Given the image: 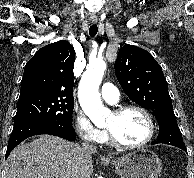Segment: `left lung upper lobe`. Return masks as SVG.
<instances>
[{
    "label": "left lung upper lobe",
    "instance_id": "obj_1",
    "mask_svg": "<svg viewBox=\"0 0 194 178\" xmlns=\"http://www.w3.org/2000/svg\"><path fill=\"white\" fill-rule=\"evenodd\" d=\"M114 68L126 95L141 107L153 111L159 124L176 120L162 68L149 52L124 45Z\"/></svg>",
    "mask_w": 194,
    "mask_h": 178
}]
</instances>
